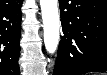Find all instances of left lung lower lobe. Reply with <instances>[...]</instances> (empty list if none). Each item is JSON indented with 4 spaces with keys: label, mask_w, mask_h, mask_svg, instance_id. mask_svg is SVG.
<instances>
[{
    "label": "left lung lower lobe",
    "mask_w": 107,
    "mask_h": 75,
    "mask_svg": "<svg viewBox=\"0 0 107 75\" xmlns=\"http://www.w3.org/2000/svg\"><path fill=\"white\" fill-rule=\"evenodd\" d=\"M61 37L53 75L107 72V0H59ZM79 17L84 27L80 39L66 38L69 25Z\"/></svg>",
    "instance_id": "obj_1"
}]
</instances>
